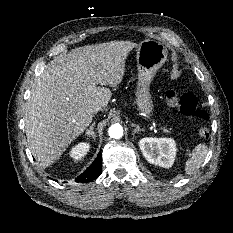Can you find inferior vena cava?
<instances>
[{
	"label": "inferior vena cava",
	"instance_id": "1",
	"mask_svg": "<svg viewBox=\"0 0 233 233\" xmlns=\"http://www.w3.org/2000/svg\"><path fill=\"white\" fill-rule=\"evenodd\" d=\"M100 110H102L101 107L97 106V107L94 108L93 111H94V113H97V112L100 111Z\"/></svg>",
	"mask_w": 233,
	"mask_h": 233
}]
</instances>
